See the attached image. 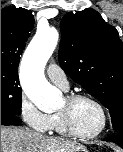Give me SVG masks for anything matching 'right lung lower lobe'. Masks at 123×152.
<instances>
[{
    "mask_svg": "<svg viewBox=\"0 0 123 152\" xmlns=\"http://www.w3.org/2000/svg\"><path fill=\"white\" fill-rule=\"evenodd\" d=\"M19 123H21V119L17 116L11 114H1V125H16Z\"/></svg>",
    "mask_w": 123,
    "mask_h": 152,
    "instance_id": "right-lung-lower-lobe-1",
    "label": "right lung lower lobe"
}]
</instances>
